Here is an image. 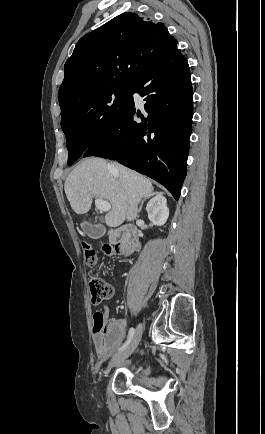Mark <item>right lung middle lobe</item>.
Segmentation results:
<instances>
[{
	"instance_id": "right-lung-middle-lobe-1",
	"label": "right lung middle lobe",
	"mask_w": 265,
	"mask_h": 434,
	"mask_svg": "<svg viewBox=\"0 0 265 434\" xmlns=\"http://www.w3.org/2000/svg\"><path fill=\"white\" fill-rule=\"evenodd\" d=\"M134 80L106 78L58 97L61 127L67 140L68 165L106 135L133 101Z\"/></svg>"
}]
</instances>
